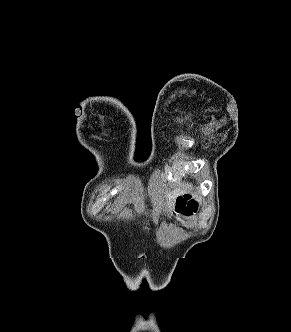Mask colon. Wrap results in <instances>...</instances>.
<instances>
[{"label":"colon","mask_w":291,"mask_h":332,"mask_svg":"<svg viewBox=\"0 0 291 332\" xmlns=\"http://www.w3.org/2000/svg\"><path fill=\"white\" fill-rule=\"evenodd\" d=\"M191 199H188L186 196L179 197L176 203V209L178 212H184L185 208L192 207L194 204L190 203Z\"/></svg>","instance_id":"colon-1"}]
</instances>
